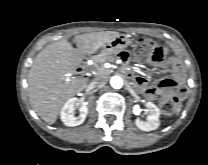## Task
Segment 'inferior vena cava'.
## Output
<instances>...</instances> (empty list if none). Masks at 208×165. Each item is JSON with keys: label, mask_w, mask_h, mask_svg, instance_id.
Returning <instances> with one entry per match:
<instances>
[{"label": "inferior vena cava", "mask_w": 208, "mask_h": 165, "mask_svg": "<svg viewBox=\"0 0 208 165\" xmlns=\"http://www.w3.org/2000/svg\"><path fill=\"white\" fill-rule=\"evenodd\" d=\"M105 82H106V79L104 77L98 76L92 80V85L99 86V85L104 84Z\"/></svg>", "instance_id": "inferior-vena-cava-1"}]
</instances>
